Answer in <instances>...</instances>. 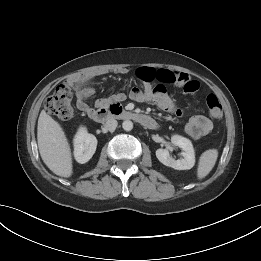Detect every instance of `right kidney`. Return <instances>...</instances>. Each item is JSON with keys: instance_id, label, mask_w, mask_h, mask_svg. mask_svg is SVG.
<instances>
[{"instance_id": "obj_1", "label": "right kidney", "mask_w": 261, "mask_h": 261, "mask_svg": "<svg viewBox=\"0 0 261 261\" xmlns=\"http://www.w3.org/2000/svg\"><path fill=\"white\" fill-rule=\"evenodd\" d=\"M97 139L89 134L85 127H80L74 137V157L78 163L88 162L96 151Z\"/></svg>"}]
</instances>
